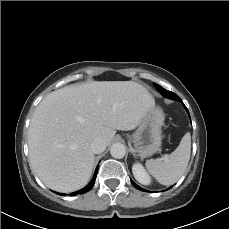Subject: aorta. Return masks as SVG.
<instances>
[{"label": "aorta", "mask_w": 229, "mask_h": 229, "mask_svg": "<svg viewBox=\"0 0 229 229\" xmlns=\"http://www.w3.org/2000/svg\"><path fill=\"white\" fill-rule=\"evenodd\" d=\"M126 148L122 143H114L110 148V154L116 159H121L125 156Z\"/></svg>", "instance_id": "762f6f07"}]
</instances>
